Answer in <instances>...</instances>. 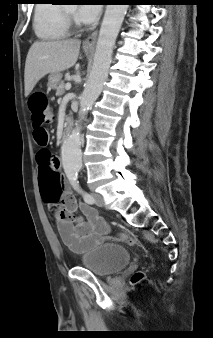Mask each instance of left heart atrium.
<instances>
[{"mask_svg": "<svg viewBox=\"0 0 213 338\" xmlns=\"http://www.w3.org/2000/svg\"><path fill=\"white\" fill-rule=\"evenodd\" d=\"M89 1V0H88ZM99 1V0H94ZM101 14V5H80L76 17L79 21L87 24L94 23L98 20Z\"/></svg>", "mask_w": 213, "mask_h": 338, "instance_id": "1", "label": "left heart atrium"}]
</instances>
